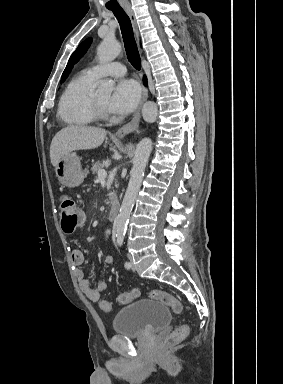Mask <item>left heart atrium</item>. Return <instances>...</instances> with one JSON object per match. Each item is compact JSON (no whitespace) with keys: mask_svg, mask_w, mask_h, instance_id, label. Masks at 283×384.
<instances>
[{"mask_svg":"<svg viewBox=\"0 0 283 384\" xmlns=\"http://www.w3.org/2000/svg\"><path fill=\"white\" fill-rule=\"evenodd\" d=\"M139 98L140 89L133 80H120L109 98L108 109L113 114H128L134 110Z\"/></svg>","mask_w":283,"mask_h":384,"instance_id":"left-heart-atrium-1","label":"left heart atrium"}]
</instances>
